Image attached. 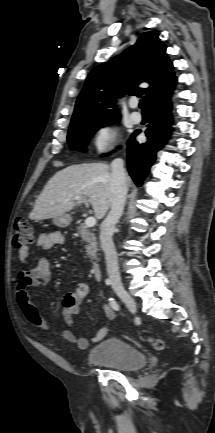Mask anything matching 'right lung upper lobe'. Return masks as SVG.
<instances>
[{
	"label": "right lung upper lobe",
	"instance_id": "obj_1",
	"mask_svg": "<svg viewBox=\"0 0 215 433\" xmlns=\"http://www.w3.org/2000/svg\"><path fill=\"white\" fill-rule=\"evenodd\" d=\"M158 33L145 32L120 57L96 66L76 101L71 124L119 117L116 98L124 94H146L148 104L176 83L173 65ZM148 88H137L142 83Z\"/></svg>",
	"mask_w": 215,
	"mask_h": 433
}]
</instances>
